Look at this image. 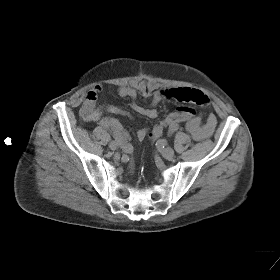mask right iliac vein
Listing matches in <instances>:
<instances>
[{
	"label": "right iliac vein",
	"mask_w": 280,
	"mask_h": 280,
	"mask_svg": "<svg viewBox=\"0 0 280 280\" xmlns=\"http://www.w3.org/2000/svg\"><path fill=\"white\" fill-rule=\"evenodd\" d=\"M118 147H119V144H118L116 141H111V142L109 143V148H110L111 150H116V149H118Z\"/></svg>",
	"instance_id": "1"
}]
</instances>
